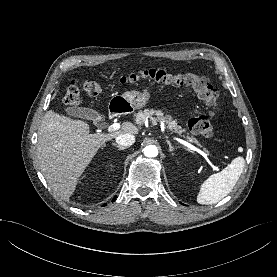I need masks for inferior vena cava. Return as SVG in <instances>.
Listing matches in <instances>:
<instances>
[{"label":"inferior vena cava","instance_id":"602c4592","mask_svg":"<svg viewBox=\"0 0 277 277\" xmlns=\"http://www.w3.org/2000/svg\"><path fill=\"white\" fill-rule=\"evenodd\" d=\"M135 142V136L129 133L122 134L116 137V143L121 146H131Z\"/></svg>","mask_w":277,"mask_h":277}]
</instances>
